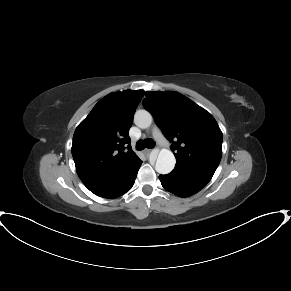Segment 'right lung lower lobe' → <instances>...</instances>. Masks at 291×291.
I'll use <instances>...</instances> for the list:
<instances>
[{
    "label": "right lung lower lobe",
    "instance_id": "98d812e1",
    "mask_svg": "<svg viewBox=\"0 0 291 291\" xmlns=\"http://www.w3.org/2000/svg\"><path fill=\"white\" fill-rule=\"evenodd\" d=\"M141 164H142V161L140 160L137 163V165L134 167V169L125 178L119 181L116 185L109 188L93 191V193L96 194L97 196H100L103 198H110V199L123 195L129 189H131V187L134 185L137 172Z\"/></svg>",
    "mask_w": 291,
    "mask_h": 291
}]
</instances>
